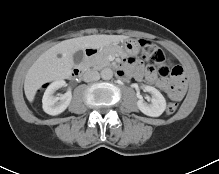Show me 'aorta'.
<instances>
[{"instance_id":"762f6f07","label":"aorta","mask_w":219,"mask_h":174,"mask_svg":"<svg viewBox=\"0 0 219 174\" xmlns=\"http://www.w3.org/2000/svg\"><path fill=\"white\" fill-rule=\"evenodd\" d=\"M113 77V71L110 68H104L101 71V78L104 80H110Z\"/></svg>"}]
</instances>
